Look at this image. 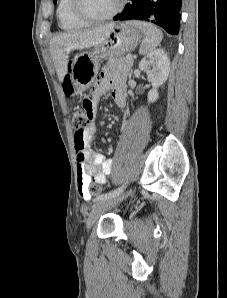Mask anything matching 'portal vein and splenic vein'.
<instances>
[{
	"instance_id": "portal-vein-and-splenic-vein-1",
	"label": "portal vein and splenic vein",
	"mask_w": 227,
	"mask_h": 298,
	"mask_svg": "<svg viewBox=\"0 0 227 298\" xmlns=\"http://www.w3.org/2000/svg\"><path fill=\"white\" fill-rule=\"evenodd\" d=\"M127 59H129V60H133L132 55H128V56H127Z\"/></svg>"
}]
</instances>
